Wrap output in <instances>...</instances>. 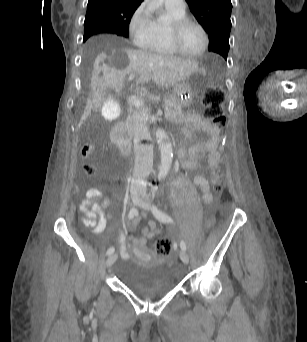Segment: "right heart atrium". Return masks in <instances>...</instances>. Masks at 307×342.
Listing matches in <instances>:
<instances>
[{
	"instance_id": "obj_1",
	"label": "right heart atrium",
	"mask_w": 307,
	"mask_h": 342,
	"mask_svg": "<svg viewBox=\"0 0 307 342\" xmlns=\"http://www.w3.org/2000/svg\"><path fill=\"white\" fill-rule=\"evenodd\" d=\"M156 23L143 7L133 12L128 21V37L135 45H140L154 37Z\"/></svg>"
}]
</instances>
